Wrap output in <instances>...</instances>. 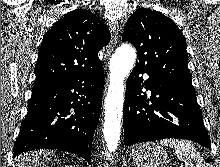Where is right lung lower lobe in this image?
<instances>
[{
	"label": "right lung lower lobe",
	"mask_w": 220,
	"mask_h": 167,
	"mask_svg": "<svg viewBox=\"0 0 220 167\" xmlns=\"http://www.w3.org/2000/svg\"><path fill=\"white\" fill-rule=\"evenodd\" d=\"M103 88L101 66L68 82L33 90L13 157L38 148L57 149L77 154L90 164Z\"/></svg>",
	"instance_id": "98d812e1"
}]
</instances>
